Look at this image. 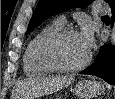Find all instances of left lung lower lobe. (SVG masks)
I'll return each instance as SVG.
<instances>
[{
	"mask_svg": "<svg viewBox=\"0 0 115 99\" xmlns=\"http://www.w3.org/2000/svg\"><path fill=\"white\" fill-rule=\"evenodd\" d=\"M110 7L112 11L111 21L113 23L115 20V3ZM80 74L95 75L115 85V47L102 46L94 63L81 71Z\"/></svg>",
	"mask_w": 115,
	"mask_h": 99,
	"instance_id": "left-lung-lower-lobe-1",
	"label": "left lung lower lobe"
}]
</instances>
